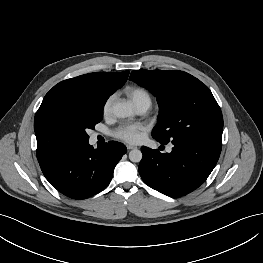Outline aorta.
<instances>
[{
	"label": "aorta",
	"mask_w": 263,
	"mask_h": 263,
	"mask_svg": "<svg viewBox=\"0 0 263 263\" xmlns=\"http://www.w3.org/2000/svg\"><path fill=\"white\" fill-rule=\"evenodd\" d=\"M113 113L118 118H127L133 115V107L129 103H120L113 107ZM129 159L132 162H140L142 152L138 149H133L129 152Z\"/></svg>",
	"instance_id": "1"
}]
</instances>
